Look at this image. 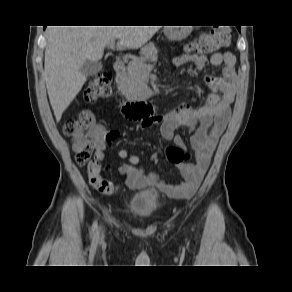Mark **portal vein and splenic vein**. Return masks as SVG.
<instances>
[{"label":"portal vein and splenic vein","mask_w":292,"mask_h":292,"mask_svg":"<svg viewBox=\"0 0 292 292\" xmlns=\"http://www.w3.org/2000/svg\"><path fill=\"white\" fill-rule=\"evenodd\" d=\"M110 49H112L114 47V42H111L108 46ZM153 65H148L144 67V71H150L151 69H153Z\"/></svg>","instance_id":"1"}]
</instances>
